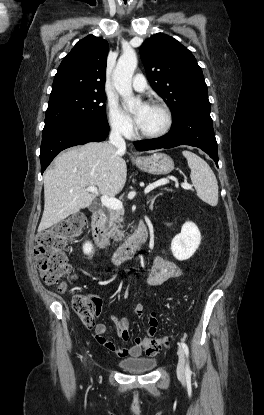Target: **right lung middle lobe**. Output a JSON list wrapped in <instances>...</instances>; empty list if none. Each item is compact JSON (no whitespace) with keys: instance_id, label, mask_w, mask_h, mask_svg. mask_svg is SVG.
<instances>
[{"instance_id":"dd1d6c3e","label":"right lung middle lobe","mask_w":264,"mask_h":415,"mask_svg":"<svg viewBox=\"0 0 264 415\" xmlns=\"http://www.w3.org/2000/svg\"><path fill=\"white\" fill-rule=\"evenodd\" d=\"M105 92L69 91L50 96L45 126L76 120H107Z\"/></svg>"}]
</instances>
